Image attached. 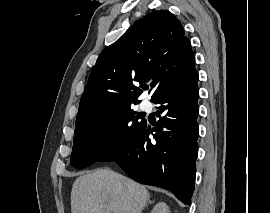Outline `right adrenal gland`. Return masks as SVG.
<instances>
[{
	"label": "right adrenal gland",
	"mask_w": 270,
	"mask_h": 213,
	"mask_svg": "<svg viewBox=\"0 0 270 213\" xmlns=\"http://www.w3.org/2000/svg\"><path fill=\"white\" fill-rule=\"evenodd\" d=\"M152 203H154V202L153 201H148V203L145 206H147L148 204H152Z\"/></svg>",
	"instance_id": "obj_1"
}]
</instances>
